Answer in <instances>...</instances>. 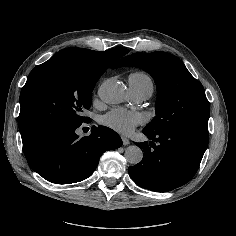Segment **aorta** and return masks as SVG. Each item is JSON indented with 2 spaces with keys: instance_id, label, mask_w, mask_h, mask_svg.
<instances>
[{
  "instance_id": "1",
  "label": "aorta",
  "mask_w": 236,
  "mask_h": 236,
  "mask_svg": "<svg viewBox=\"0 0 236 236\" xmlns=\"http://www.w3.org/2000/svg\"><path fill=\"white\" fill-rule=\"evenodd\" d=\"M98 94L105 103H120L125 98V87L122 83L109 79L101 84ZM125 158L130 164L136 165L142 161L143 152L138 146L131 145L125 150Z\"/></svg>"
}]
</instances>
